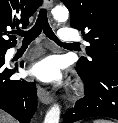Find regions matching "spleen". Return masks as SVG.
<instances>
[{
    "instance_id": "obj_1",
    "label": "spleen",
    "mask_w": 118,
    "mask_h": 123,
    "mask_svg": "<svg viewBox=\"0 0 118 123\" xmlns=\"http://www.w3.org/2000/svg\"><path fill=\"white\" fill-rule=\"evenodd\" d=\"M93 123H112V122L108 120H104V119H98V120L93 121Z\"/></svg>"
}]
</instances>
